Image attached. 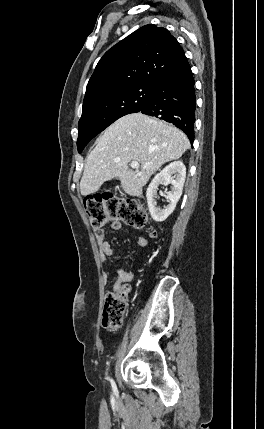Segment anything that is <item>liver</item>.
<instances>
[{
    "instance_id": "liver-1",
    "label": "liver",
    "mask_w": 264,
    "mask_h": 429,
    "mask_svg": "<svg viewBox=\"0 0 264 429\" xmlns=\"http://www.w3.org/2000/svg\"><path fill=\"white\" fill-rule=\"evenodd\" d=\"M189 148L187 136L175 126L142 113L125 115L104 131L87 156L81 194H92L104 182L118 178L125 193L141 196L150 177ZM131 161L139 163L135 171L128 167Z\"/></svg>"
}]
</instances>
